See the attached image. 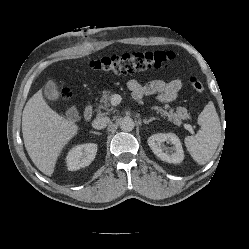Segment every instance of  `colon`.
<instances>
[{
  "label": "colon",
  "instance_id": "colon-1",
  "mask_svg": "<svg viewBox=\"0 0 249 249\" xmlns=\"http://www.w3.org/2000/svg\"><path fill=\"white\" fill-rule=\"evenodd\" d=\"M173 59L174 54L172 52L147 50L100 57L91 60L89 66L96 71L129 74L148 69L168 68ZM188 82L194 90L203 91L204 84L198 76L190 75ZM59 94L64 101H68L71 97L70 90L65 87L60 88Z\"/></svg>",
  "mask_w": 249,
  "mask_h": 249
}]
</instances>
